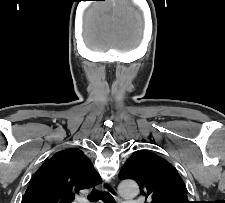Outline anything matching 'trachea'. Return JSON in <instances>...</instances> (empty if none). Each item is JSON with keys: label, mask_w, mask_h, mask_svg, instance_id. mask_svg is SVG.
<instances>
[{"label": "trachea", "mask_w": 225, "mask_h": 203, "mask_svg": "<svg viewBox=\"0 0 225 203\" xmlns=\"http://www.w3.org/2000/svg\"><path fill=\"white\" fill-rule=\"evenodd\" d=\"M88 199L91 202H97L101 199L104 203H115L114 198L108 192H99L95 189L91 191Z\"/></svg>", "instance_id": "obj_1"}]
</instances>
